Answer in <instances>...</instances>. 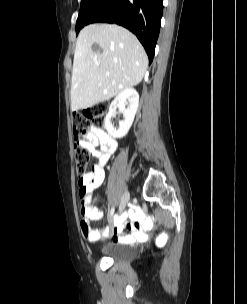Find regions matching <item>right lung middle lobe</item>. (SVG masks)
I'll return each mask as SVG.
<instances>
[{
  "label": "right lung middle lobe",
  "mask_w": 247,
  "mask_h": 304,
  "mask_svg": "<svg viewBox=\"0 0 247 304\" xmlns=\"http://www.w3.org/2000/svg\"><path fill=\"white\" fill-rule=\"evenodd\" d=\"M101 1L102 0H81L80 11L76 22V34L82 29L84 19Z\"/></svg>",
  "instance_id": "1"
}]
</instances>
